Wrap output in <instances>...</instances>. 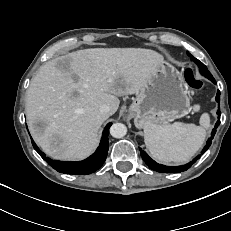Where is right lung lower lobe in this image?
<instances>
[{"label": "right lung lower lobe", "instance_id": "obj_1", "mask_svg": "<svg viewBox=\"0 0 231 231\" xmlns=\"http://www.w3.org/2000/svg\"><path fill=\"white\" fill-rule=\"evenodd\" d=\"M111 125L112 123L106 125L102 133L100 145L95 153L92 154L89 158L79 162H63L52 160L46 157V155L39 150L33 139H31V141L34 149L40 154V156L58 172L65 174L86 175L98 170L105 162L109 148L108 135Z\"/></svg>", "mask_w": 231, "mask_h": 231}]
</instances>
